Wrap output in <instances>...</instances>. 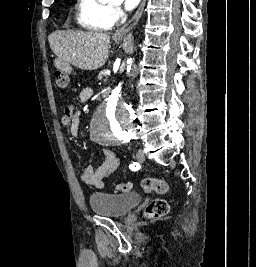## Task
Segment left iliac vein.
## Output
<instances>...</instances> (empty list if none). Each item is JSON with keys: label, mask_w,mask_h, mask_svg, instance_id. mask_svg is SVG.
Returning <instances> with one entry per match:
<instances>
[{"label": "left iliac vein", "mask_w": 256, "mask_h": 267, "mask_svg": "<svg viewBox=\"0 0 256 267\" xmlns=\"http://www.w3.org/2000/svg\"><path fill=\"white\" fill-rule=\"evenodd\" d=\"M136 158L140 163L145 162V154L143 153L141 149L137 151Z\"/></svg>", "instance_id": "4c4485c4"}]
</instances>
